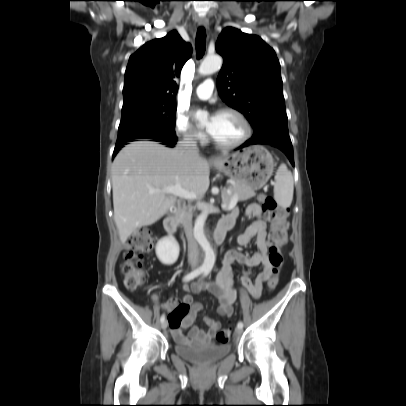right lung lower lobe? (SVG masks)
I'll return each instance as SVG.
<instances>
[{
	"instance_id": "obj_1",
	"label": "right lung lower lobe",
	"mask_w": 406,
	"mask_h": 406,
	"mask_svg": "<svg viewBox=\"0 0 406 406\" xmlns=\"http://www.w3.org/2000/svg\"><path fill=\"white\" fill-rule=\"evenodd\" d=\"M154 141L161 142L162 144L167 145L168 147H174V145L176 144V141H177V137L176 136L162 137V138L154 139ZM126 144H127L126 142L125 143H116L115 149H114V152H113V157H115V155Z\"/></svg>"
}]
</instances>
